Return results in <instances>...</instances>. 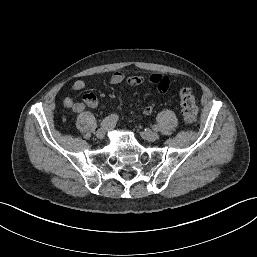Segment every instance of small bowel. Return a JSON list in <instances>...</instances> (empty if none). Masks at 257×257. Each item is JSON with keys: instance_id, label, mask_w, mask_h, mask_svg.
Segmentation results:
<instances>
[{"instance_id": "obj_1", "label": "small bowel", "mask_w": 257, "mask_h": 257, "mask_svg": "<svg viewBox=\"0 0 257 257\" xmlns=\"http://www.w3.org/2000/svg\"><path fill=\"white\" fill-rule=\"evenodd\" d=\"M109 81L111 84L115 85L126 81V84L129 88L140 85L145 81H149L150 83L154 84L161 93L167 92L170 87L169 78L161 73H151L147 76H130L126 78L124 73L116 71L111 74ZM84 88L85 82L82 79H78L72 84V89L74 91L79 92ZM63 103L65 107L72 109L76 113L82 112L85 107L96 108L99 105L98 99L93 93H86L80 102H74L70 97H66ZM153 111V103L146 105L144 108V113L146 115H150Z\"/></svg>"}]
</instances>
